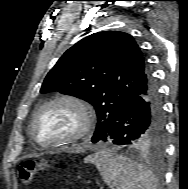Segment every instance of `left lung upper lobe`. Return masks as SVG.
<instances>
[{
  "label": "left lung upper lobe",
  "instance_id": "5c2ea615",
  "mask_svg": "<svg viewBox=\"0 0 188 189\" xmlns=\"http://www.w3.org/2000/svg\"><path fill=\"white\" fill-rule=\"evenodd\" d=\"M153 79L133 37L119 31L91 34L68 49L47 74L40 92L59 91L91 103L98 142L113 126L135 92ZM162 135L144 136L135 148H159Z\"/></svg>",
  "mask_w": 188,
  "mask_h": 189
}]
</instances>
